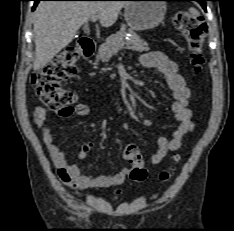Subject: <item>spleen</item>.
<instances>
[{
  "instance_id": "1",
  "label": "spleen",
  "mask_w": 234,
  "mask_h": 231,
  "mask_svg": "<svg viewBox=\"0 0 234 231\" xmlns=\"http://www.w3.org/2000/svg\"><path fill=\"white\" fill-rule=\"evenodd\" d=\"M189 11L192 15H195V16H197L199 14L198 11L194 8H190Z\"/></svg>"
}]
</instances>
